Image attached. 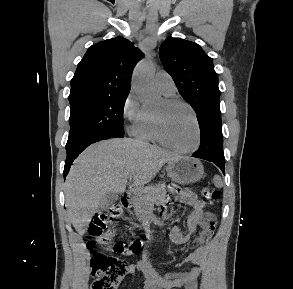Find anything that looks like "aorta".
Listing matches in <instances>:
<instances>
[{"mask_svg":"<svg viewBox=\"0 0 293 289\" xmlns=\"http://www.w3.org/2000/svg\"><path fill=\"white\" fill-rule=\"evenodd\" d=\"M154 65L149 61L140 62L134 70L132 87L144 105H155L161 100L153 85Z\"/></svg>","mask_w":293,"mask_h":289,"instance_id":"1","label":"aorta"}]
</instances>
